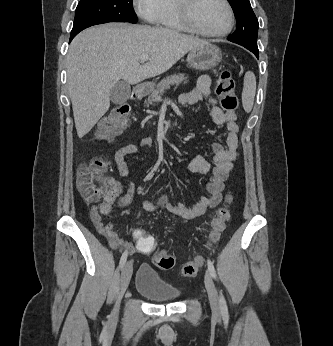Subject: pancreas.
Returning <instances> with one entry per match:
<instances>
[{"label":"pancreas","mask_w":333,"mask_h":346,"mask_svg":"<svg viewBox=\"0 0 333 346\" xmlns=\"http://www.w3.org/2000/svg\"><path fill=\"white\" fill-rule=\"evenodd\" d=\"M181 83H187V78L184 74H174L164 78L158 85L157 89L153 90L147 101V105L153 102L161 101V95L166 89H169L171 85H180Z\"/></svg>","instance_id":"pancreas-1"}]
</instances>
